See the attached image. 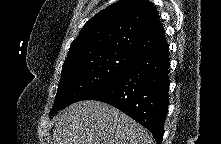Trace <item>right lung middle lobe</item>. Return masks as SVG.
I'll use <instances>...</instances> for the list:
<instances>
[{"instance_id":"dd1d6c3e","label":"right lung middle lobe","mask_w":221,"mask_h":144,"mask_svg":"<svg viewBox=\"0 0 221 144\" xmlns=\"http://www.w3.org/2000/svg\"><path fill=\"white\" fill-rule=\"evenodd\" d=\"M139 57L127 51L109 50L63 65L51 115L82 100L90 92L108 83Z\"/></svg>"}]
</instances>
